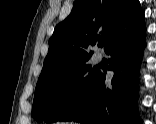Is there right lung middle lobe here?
<instances>
[{
	"label": "right lung middle lobe",
	"instance_id": "right-lung-middle-lobe-1",
	"mask_svg": "<svg viewBox=\"0 0 156 124\" xmlns=\"http://www.w3.org/2000/svg\"><path fill=\"white\" fill-rule=\"evenodd\" d=\"M99 73L84 62L38 79L32 117L38 122L59 121L82 98Z\"/></svg>",
	"mask_w": 156,
	"mask_h": 124
}]
</instances>
